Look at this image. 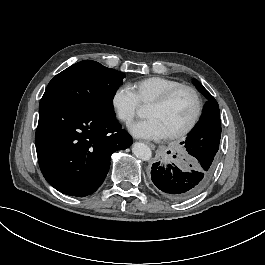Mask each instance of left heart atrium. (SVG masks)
<instances>
[{
    "label": "left heart atrium",
    "mask_w": 265,
    "mask_h": 265,
    "mask_svg": "<svg viewBox=\"0 0 265 265\" xmlns=\"http://www.w3.org/2000/svg\"><path fill=\"white\" fill-rule=\"evenodd\" d=\"M130 132L138 138L160 139L166 136L163 128L154 118L139 120L129 126Z\"/></svg>",
    "instance_id": "obj_1"
}]
</instances>
